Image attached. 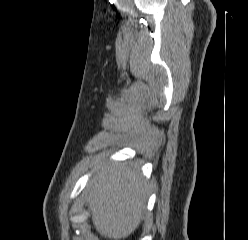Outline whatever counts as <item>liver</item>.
Wrapping results in <instances>:
<instances>
[{
	"label": "liver",
	"mask_w": 248,
	"mask_h": 240,
	"mask_svg": "<svg viewBox=\"0 0 248 240\" xmlns=\"http://www.w3.org/2000/svg\"><path fill=\"white\" fill-rule=\"evenodd\" d=\"M139 168L135 162L110 164L90 181L86 201L102 236L124 239L139 226L148 195Z\"/></svg>",
	"instance_id": "obj_1"
}]
</instances>
